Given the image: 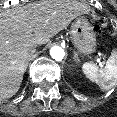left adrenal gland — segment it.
<instances>
[{
    "mask_svg": "<svg viewBox=\"0 0 117 117\" xmlns=\"http://www.w3.org/2000/svg\"><path fill=\"white\" fill-rule=\"evenodd\" d=\"M73 59H74L76 62H80V59H79V57H78V55H77L76 52H74V57H73Z\"/></svg>",
    "mask_w": 117,
    "mask_h": 117,
    "instance_id": "left-adrenal-gland-1",
    "label": "left adrenal gland"
}]
</instances>
